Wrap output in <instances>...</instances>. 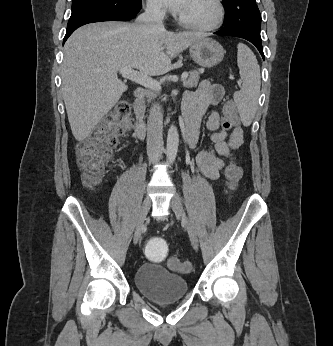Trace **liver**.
Returning <instances> with one entry per match:
<instances>
[{
    "label": "liver",
    "mask_w": 333,
    "mask_h": 346,
    "mask_svg": "<svg viewBox=\"0 0 333 346\" xmlns=\"http://www.w3.org/2000/svg\"><path fill=\"white\" fill-rule=\"evenodd\" d=\"M202 38L200 33L150 30L139 23H94L77 29L65 43L61 69L62 95L75 139L88 137L127 91L117 76L121 68L163 75L178 53Z\"/></svg>",
    "instance_id": "6515ba94"
}]
</instances>
